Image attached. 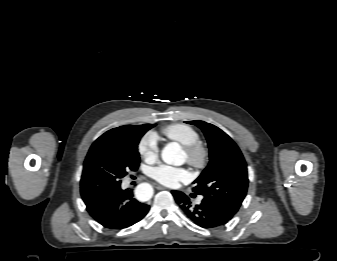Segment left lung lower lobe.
<instances>
[{"mask_svg":"<svg viewBox=\"0 0 337 261\" xmlns=\"http://www.w3.org/2000/svg\"><path fill=\"white\" fill-rule=\"evenodd\" d=\"M172 194L184 214L202 228L211 229L224 226L234 217V214L225 207L210 199L204 198L200 205L192 207L190 199L182 192L172 191Z\"/></svg>","mask_w":337,"mask_h":261,"instance_id":"0a47b994","label":"left lung lower lobe"}]
</instances>
